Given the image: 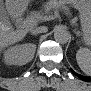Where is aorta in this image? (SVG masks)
Returning <instances> with one entry per match:
<instances>
[{
    "label": "aorta",
    "mask_w": 91,
    "mask_h": 91,
    "mask_svg": "<svg viewBox=\"0 0 91 91\" xmlns=\"http://www.w3.org/2000/svg\"><path fill=\"white\" fill-rule=\"evenodd\" d=\"M54 39L58 43L65 44L69 40V33L63 26H58L54 29Z\"/></svg>",
    "instance_id": "1"
}]
</instances>
